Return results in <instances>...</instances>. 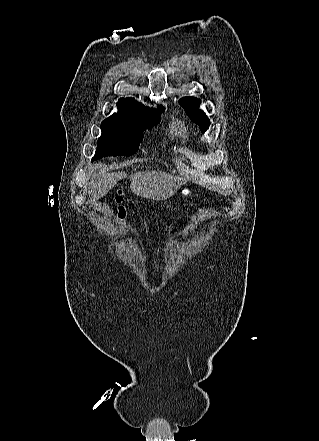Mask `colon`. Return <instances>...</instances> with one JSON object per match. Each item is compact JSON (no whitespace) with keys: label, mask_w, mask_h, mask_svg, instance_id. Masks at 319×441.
<instances>
[{"label":"colon","mask_w":319,"mask_h":441,"mask_svg":"<svg viewBox=\"0 0 319 441\" xmlns=\"http://www.w3.org/2000/svg\"><path fill=\"white\" fill-rule=\"evenodd\" d=\"M122 201V197H117V202H121ZM124 215H125V211H124V208L122 207V206H119V208H118V216L120 217V218H123L124 217Z\"/></svg>","instance_id":"colon-1"}]
</instances>
